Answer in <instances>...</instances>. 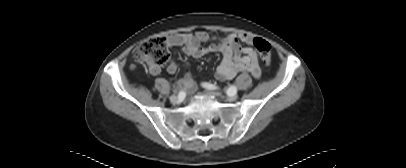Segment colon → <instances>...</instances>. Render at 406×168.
Masks as SVG:
<instances>
[{
    "label": "colon",
    "mask_w": 406,
    "mask_h": 168,
    "mask_svg": "<svg viewBox=\"0 0 406 168\" xmlns=\"http://www.w3.org/2000/svg\"><path fill=\"white\" fill-rule=\"evenodd\" d=\"M252 43L258 51L265 66L271 65L270 44L262 38H253ZM133 57L141 63L151 65H163L169 59L167 40L161 36H155L142 42L133 52Z\"/></svg>",
    "instance_id": "colon-1"
}]
</instances>
